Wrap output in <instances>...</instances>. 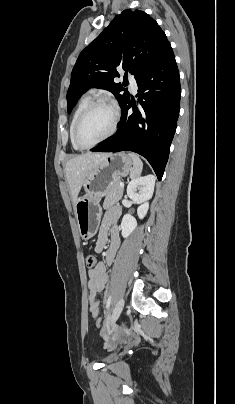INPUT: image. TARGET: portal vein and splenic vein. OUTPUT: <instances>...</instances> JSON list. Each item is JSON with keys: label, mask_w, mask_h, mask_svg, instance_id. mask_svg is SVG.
I'll list each match as a JSON object with an SVG mask.
<instances>
[{"label": "portal vein and splenic vein", "mask_w": 235, "mask_h": 404, "mask_svg": "<svg viewBox=\"0 0 235 404\" xmlns=\"http://www.w3.org/2000/svg\"><path fill=\"white\" fill-rule=\"evenodd\" d=\"M120 187H122V188H123V187H124V183H122V182H121V183H120Z\"/></svg>", "instance_id": "obj_1"}]
</instances>
